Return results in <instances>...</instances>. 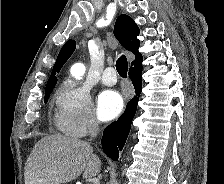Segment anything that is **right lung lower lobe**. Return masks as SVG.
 Segmentation results:
<instances>
[{"instance_id":"98d812e1","label":"right lung lower lobe","mask_w":224,"mask_h":184,"mask_svg":"<svg viewBox=\"0 0 224 184\" xmlns=\"http://www.w3.org/2000/svg\"><path fill=\"white\" fill-rule=\"evenodd\" d=\"M142 66L130 68L129 77L133 83L136 95L128 102L123 115L110 124L103 132L102 148L105 154L113 160H118L119 151L122 150L128 137L133 117L136 113L137 103L142 89Z\"/></svg>"}]
</instances>
